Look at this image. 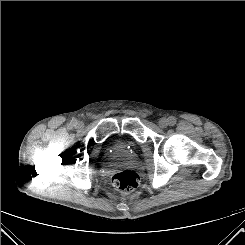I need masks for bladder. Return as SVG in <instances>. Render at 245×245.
I'll use <instances>...</instances> for the list:
<instances>
[{
	"label": "bladder",
	"instance_id": "1",
	"mask_svg": "<svg viewBox=\"0 0 245 245\" xmlns=\"http://www.w3.org/2000/svg\"><path fill=\"white\" fill-rule=\"evenodd\" d=\"M127 143L123 142V141H117L113 148L116 151H126L127 150Z\"/></svg>",
	"mask_w": 245,
	"mask_h": 245
}]
</instances>
